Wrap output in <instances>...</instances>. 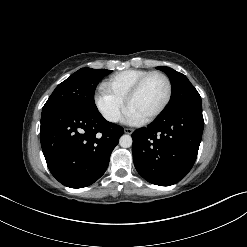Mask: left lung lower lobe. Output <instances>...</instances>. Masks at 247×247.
<instances>
[{"instance_id": "1", "label": "left lung lower lobe", "mask_w": 247, "mask_h": 247, "mask_svg": "<svg viewBox=\"0 0 247 247\" xmlns=\"http://www.w3.org/2000/svg\"><path fill=\"white\" fill-rule=\"evenodd\" d=\"M204 120L201 104L164 111L149 126L133 132V160L148 182L170 186L191 170L201 142Z\"/></svg>"}]
</instances>
